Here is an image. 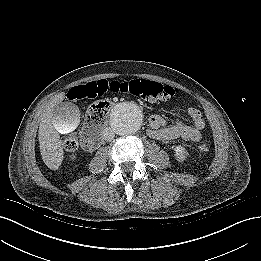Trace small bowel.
Wrapping results in <instances>:
<instances>
[{
  "mask_svg": "<svg viewBox=\"0 0 261 261\" xmlns=\"http://www.w3.org/2000/svg\"><path fill=\"white\" fill-rule=\"evenodd\" d=\"M186 113L191 120V124L177 120L173 125L168 126L162 116H151L148 135L157 140H174L178 138L186 141L200 140L206 125L200 110L195 107H189Z\"/></svg>",
  "mask_w": 261,
  "mask_h": 261,
  "instance_id": "small-bowel-1",
  "label": "small bowel"
}]
</instances>
